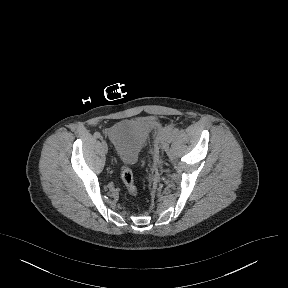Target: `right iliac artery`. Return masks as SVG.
<instances>
[{"label":"right iliac artery","instance_id":"82829eb1","mask_svg":"<svg viewBox=\"0 0 288 288\" xmlns=\"http://www.w3.org/2000/svg\"><path fill=\"white\" fill-rule=\"evenodd\" d=\"M94 138H101V134L99 132L94 133Z\"/></svg>","mask_w":288,"mask_h":288}]
</instances>
